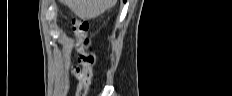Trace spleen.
Instances as JSON below:
<instances>
[{
  "label": "spleen",
  "instance_id": "spleen-1",
  "mask_svg": "<svg viewBox=\"0 0 232 96\" xmlns=\"http://www.w3.org/2000/svg\"><path fill=\"white\" fill-rule=\"evenodd\" d=\"M66 6L81 19H94L114 6L115 0H64Z\"/></svg>",
  "mask_w": 232,
  "mask_h": 96
}]
</instances>
